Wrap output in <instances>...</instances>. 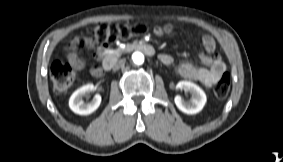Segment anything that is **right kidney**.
<instances>
[{
    "label": "right kidney",
    "instance_id": "obj_1",
    "mask_svg": "<svg viewBox=\"0 0 283 162\" xmlns=\"http://www.w3.org/2000/svg\"><path fill=\"white\" fill-rule=\"evenodd\" d=\"M94 90L93 84H87L77 89L69 99L70 109L79 115H89L93 113L101 103V96L96 94L89 103H84L83 97Z\"/></svg>",
    "mask_w": 283,
    "mask_h": 162
}]
</instances>
